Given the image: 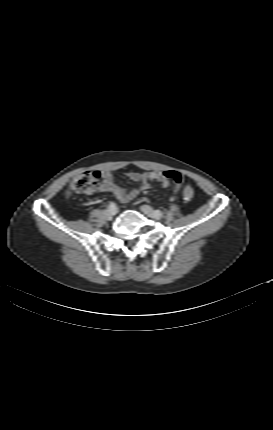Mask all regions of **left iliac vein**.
<instances>
[{
    "mask_svg": "<svg viewBox=\"0 0 273 430\" xmlns=\"http://www.w3.org/2000/svg\"><path fill=\"white\" fill-rule=\"evenodd\" d=\"M141 211L147 215L150 218L159 220L161 217L157 215V212L154 211L150 206L148 205H142L141 206Z\"/></svg>",
    "mask_w": 273,
    "mask_h": 430,
    "instance_id": "4c4485c4",
    "label": "left iliac vein"
}]
</instances>
